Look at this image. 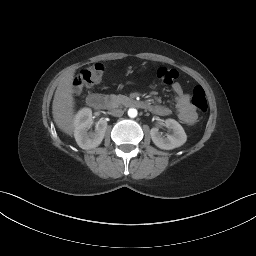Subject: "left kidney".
Listing matches in <instances>:
<instances>
[{"instance_id":"5707ae66","label":"left kidney","mask_w":256,"mask_h":256,"mask_svg":"<svg viewBox=\"0 0 256 256\" xmlns=\"http://www.w3.org/2000/svg\"><path fill=\"white\" fill-rule=\"evenodd\" d=\"M164 124L172 130V133L165 137L160 134L158 128H152L150 135L153 143L158 148L164 150H171L182 146L187 140V135L183 127L176 120L170 118L166 119Z\"/></svg>"}]
</instances>
